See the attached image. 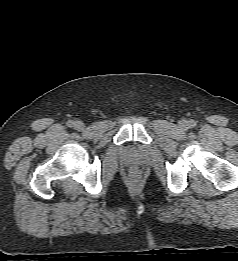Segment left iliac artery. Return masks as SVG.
I'll use <instances>...</instances> for the list:
<instances>
[{
    "mask_svg": "<svg viewBox=\"0 0 238 261\" xmlns=\"http://www.w3.org/2000/svg\"><path fill=\"white\" fill-rule=\"evenodd\" d=\"M189 125H190L191 127H195V126H196V122L193 121V120H191V121L189 122Z\"/></svg>",
    "mask_w": 238,
    "mask_h": 261,
    "instance_id": "1",
    "label": "left iliac artery"
}]
</instances>
